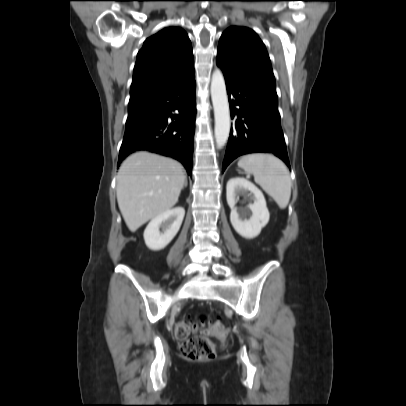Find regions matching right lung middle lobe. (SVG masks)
Here are the masks:
<instances>
[{"label": "right lung middle lobe", "mask_w": 406, "mask_h": 406, "mask_svg": "<svg viewBox=\"0 0 406 406\" xmlns=\"http://www.w3.org/2000/svg\"><path fill=\"white\" fill-rule=\"evenodd\" d=\"M142 116V112L137 105L129 106L128 108V118L126 125L132 124L139 120Z\"/></svg>", "instance_id": "right-lung-middle-lobe-1"}]
</instances>
